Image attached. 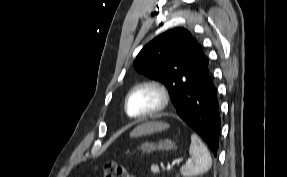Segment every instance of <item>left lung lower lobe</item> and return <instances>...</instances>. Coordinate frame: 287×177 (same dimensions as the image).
<instances>
[{"label": "left lung lower lobe", "instance_id": "obj_1", "mask_svg": "<svg viewBox=\"0 0 287 177\" xmlns=\"http://www.w3.org/2000/svg\"><path fill=\"white\" fill-rule=\"evenodd\" d=\"M176 108L179 117L207 143L217 156L220 131L219 104L208 66L182 96Z\"/></svg>", "mask_w": 287, "mask_h": 177}]
</instances>
